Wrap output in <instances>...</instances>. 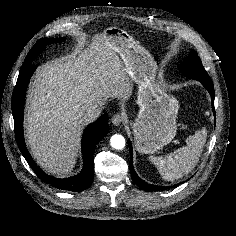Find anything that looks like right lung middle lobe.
Here are the masks:
<instances>
[{"label":"right lung middle lobe","mask_w":236,"mask_h":236,"mask_svg":"<svg viewBox=\"0 0 236 236\" xmlns=\"http://www.w3.org/2000/svg\"><path fill=\"white\" fill-rule=\"evenodd\" d=\"M64 40H65L64 38H57V39L43 38V39L38 40L35 43V45L31 48L28 55L26 56V58L24 60V64L22 65L21 69L25 66L30 65L32 60L40 54V52L42 51V49L45 45L50 44V43L62 42Z\"/></svg>","instance_id":"right-lung-middle-lobe-1"}]
</instances>
